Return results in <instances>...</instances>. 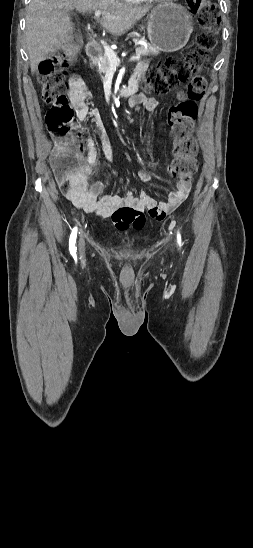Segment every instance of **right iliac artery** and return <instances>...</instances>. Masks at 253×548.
<instances>
[{"label":"right iliac artery","instance_id":"1","mask_svg":"<svg viewBox=\"0 0 253 548\" xmlns=\"http://www.w3.org/2000/svg\"><path fill=\"white\" fill-rule=\"evenodd\" d=\"M76 237H77V227H75L73 230H72V233L70 235V239H69V250H70V253L72 256H76V247H75V243H76Z\"/></svg>","mask_w":253,"mask_h":548}]
</instances>
